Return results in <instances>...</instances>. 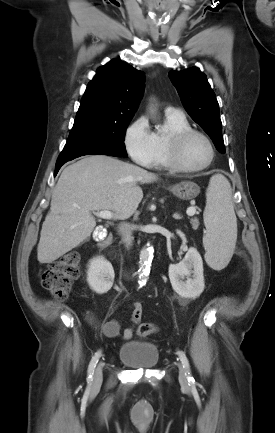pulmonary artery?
Segmentation results:
<instances>
[{
  "mask_svg": "<svg viewBox=\"0 0 275 433\" xmlns=\"http://www.w3.org/2000/svg\"><path fill=\"white\" fill-rule=\"evenodd\" d=\"M165 112L173 115H183L182 111L176 107H167Z\"/></svg>",
  "mask_w": 275,
  "mask_h": 433,
  "instance_id": "e3ab8cb5",
  "label": "pulmonary artery"
}]
</instances>
